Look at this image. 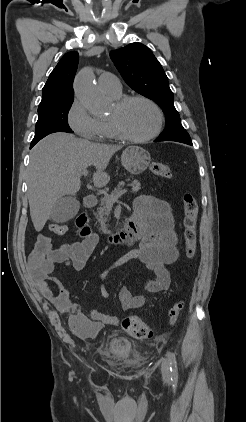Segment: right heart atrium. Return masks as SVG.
Returning <instances> with one entry per match:
<instances>
[{
  "mask_svg": "<svg viewBox=\"0 0 246 422\" xmlns=\"http://www.w3.org/2000/svg\"><path fill=\"white\" fill-rule=\"evenodd\" d=\"M68 124L81 138L89 141H99L104 138L102 121L93 117L82 102L75 99L68 110Z\"/></svg>",
  "mask_w": 246,
  "mask_h": 422,
  "instance_id": "right-heart-atrium-1",
  "label": "right heart atrium"
}]
</instances>
